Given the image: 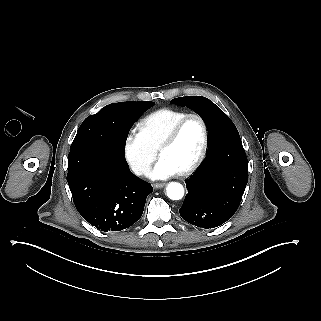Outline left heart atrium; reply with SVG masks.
Listing matches in <instances>:
<instances>
[{
  "instance_id": "left-heart-atrium-1",
  "label": "left heart atrium",
  "mask_w": 321,
  "mask_h": 321,
  "mask_svg": "<svg viewBox=\"0 0 321 321\" xmlns=\"http://www.w3.org/2000/svg\"><path fill=\"white\" fill-rule=\"evenodd\" d=\"M181 171L168 156H162L151 170V177L155 179H167L179 174Z\"/></svg>"
}]
</instances>
